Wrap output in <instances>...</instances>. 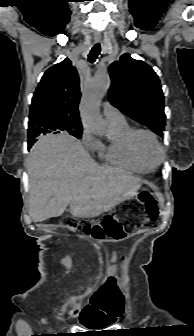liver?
<instances>
[{
    "instance_id": "liver-1",
    "label": "liver",
    "mask_w": 194,
    "mask_h": 336,
    "mask_svg": "<svg viewBox=\"0 0 194 336\" xmlns=\"http://www.w3.org/2000/svg\"><path fill=\"white\" fill-rule=\"evenodd\" d=\"M26 166L34 222L61 216L68 205L76 218L96 217L141 187L140 178L98 165L81 142L65 134L40 138Z\"/></svg>"
}]
</instances>
